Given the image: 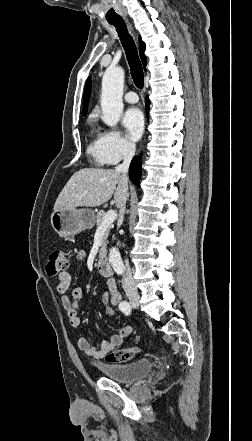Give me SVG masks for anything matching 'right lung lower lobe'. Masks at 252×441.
Instances as JSON below:
<instances>
[{"label":"right lung lower lobe","instance_id":"98d812e1","mask_svg":"<svg viewBox=\"0 0 252 441\" xmlns=\"http://www.w3.org/2000/svg\"><path fill=\"white\" fill-rule=\"evenodd\" d=\"M149 104H150L149 99L146 98L147 114L149 111ZM140 157L141 156H139V159ZM140 176H141V162L140 161L138 162L137 157H134L129 168V177L135 185L139 186Z\"/></svg>","mask_w":252,"mask_h":441}]
</instances>
